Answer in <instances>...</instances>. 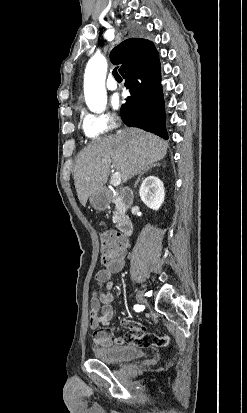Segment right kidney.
<instances>
[{
    "instance_id": "ca27d5eb",
    "label": "right kidney",
    "mask_w": 247,
    "mask_h": 413,
    "mask_svg": "<svg viewBox=\"0 0 247 413\" xmlns=\"http://www.w3.org/2000/svg\"><path fill=\"white\" fill-rule=\"evenodd\" d=\"M139 196L149 209L158 211L164 200V184L158 176H147L139 188Z\"/></svg>"
}]
</instances>
